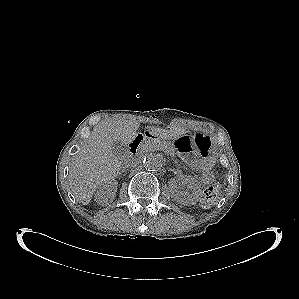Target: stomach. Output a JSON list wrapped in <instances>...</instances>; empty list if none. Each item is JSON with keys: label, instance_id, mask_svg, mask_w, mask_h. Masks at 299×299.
Listing matches in <instances>:
<instances>
[{"label": "stomach", "instance_id": "0dacf381", "mask_svg": "<svg viewBox=\"0 0 299 299\" xmlns=\"http://www.w3.org/2000/svg\"><path fill=\"white\" fill-rule=\"evenodd\" d=\"M179 157L195 168H211L220 159V147L204 133L196 136L179 135L174 140Z\"/></svg>", "mask_w": 299, "mask_h": 299}]
</instances>
